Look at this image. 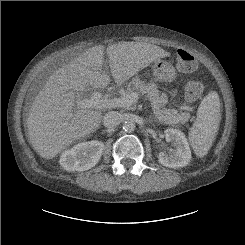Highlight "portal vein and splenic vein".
Instances as JSON below:
<instances>
[{
    "label": "portal vein and splenic vein",
    "mask_w": 245,
    "mask_h": 245,
    "mask_svg": "<svg viewBox=\"0 0 245 245\" xmlns=\"http://www.w3.org/2000/svg\"><path fill=\"white\" fill-rule=\"evenodd\" d=\"M69 97H71L78 108L86 109H105V108H128L132 104L136 103L139 99V95L137 92H131L129 94H125L119 98L113 99H104L100 93H94L91 97L85 99H76L74 93L70 92Z\"/></svg>",
    "instance_id": "obj_1"
}]
</instances>
